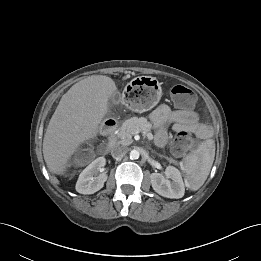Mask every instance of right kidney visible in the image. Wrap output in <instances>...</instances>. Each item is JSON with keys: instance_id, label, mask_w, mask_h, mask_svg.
<instances>
[{"instance_id": "obj_1", "label": "right kidney", "mask_w": 261, "mask_h": 261, "mask_svg": "<svg viewBox=\"0 0 261 261\" xmlns=\"http://www.w3.org/2000/svg\"><path fill=\"white\" fill-rule=\"evenodd\" d=\"M106 159L104 157H98L92 163H90L79 175L76 183V191L81 194H93L99 191L107 180V174L102 173ZM98 172L101 174L97 175Z\"/></svg>"}]
</instances>
